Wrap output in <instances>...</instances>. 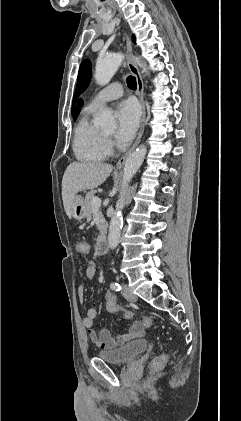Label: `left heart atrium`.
Masks as SVG:
<instances>
[{
	"label": "left heart atrium",
	"instance_id": "39dd6f15",
	"mask_svg": "<svg viewBox=\"0 0 241 421\" xmlns=\"http://www.w3.org/2000/svg\"><path fill=\"white\" fill-rule=\"evenodd\" d=\"M118 129L116 138L121 143L129 142L135 135L139 121L140 109L133 100H126L119 104Z\"/></svg>",
	"mask_w": 241,
	"mask_h": 421
}]
</instances>
